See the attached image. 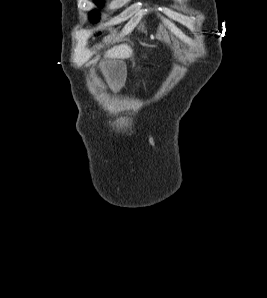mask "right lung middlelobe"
I'll list each match as a JSON object with an SVG mask.
<instances>
[{
    "instance_id": "dd1d6c3e",
    "label": "right lung middle lobe",
    "mask_w": 267,
    "mask_h": 298,
    "mask_svg": "<svg viewBox=\"0 0 267 298\" xmlns=\"http://www.w3.org/2000/svg\"><path fill=\"white\" fill-rule=\"evenodd\" d=\"M101 1L102 0H97L98 3H101ZM90 18L94 22L98 21V13H96V12L90 13Z\"/></svg>"
}]
</instances>
